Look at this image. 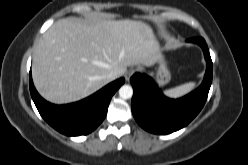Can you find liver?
<instances>
[{
	"mask_svg": "<svg viewBox=\"0 0 248 165\" xmlns=\"http://www.w3.org/2000/svg\"><path fill=\"white\" fill-rule=\"evenodd\" d=\"M160 44L148 24L135 20L77 18L55 22L38 41L32 65L39 94L55 104L90 96L128 66H151L160 57Z\"/></svg>",
	"mask_w": 248,
	"mask_h": 165,
	"instance_id": "6515ba94",
	"label": "liver"
}]
</instances>
